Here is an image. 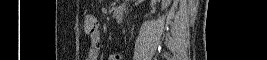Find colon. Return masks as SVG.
Here are the masks:
<instances>
[{
	"label": "colon",
	"instance_id": "colon-1",
	"mask_svg": "<svg viewBox=\"0 0 267 60\" xmlns=\"http://www.w3.org/2000/svg\"><path fill=\"white\" fill-rule=\"evenodd\" d=\"M98 20L93 14H87L84 17V29L87 34H94L97 32Z\"/></svg>",
	"mask_w": 267,
	"mask_h": 60
}]
</instances>
